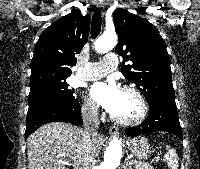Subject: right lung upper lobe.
<instances>
[{
	"instance_id": "cb5924a9",
	"label": "right lung upper lobe",
	"mask_w": 200,
	"mask_h": 169,
	"mask_svg": "<svg viewBox=\"0 0 200 169\" xmlns=\"http://www.w3.org/2000/svg\"><path fill=\"white\" fill-rule=\"evenodd\" d=\"M90 16L74 10L52 23L40 35L31 61L30 86L48 80H63L76 65L75 54L87 42Z\"/></svg>"
}]
</instances>
